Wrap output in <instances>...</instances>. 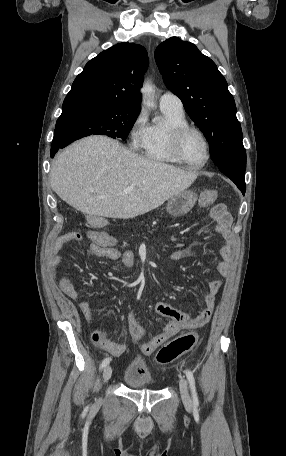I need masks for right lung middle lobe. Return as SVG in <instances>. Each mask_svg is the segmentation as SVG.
<instances>
[{
	"instance_id": "right-lung-middle-lobe-1",
	"label": "right lung middle lobe",
	"mask_w": 286,
	"mask_h": 456,
	"mask_svg": "<svg viewBox=\"0 0 286 456\" xmlns=\"http://www.w3.org/2000/svg\"><path fill=\"white\" fill-rule=\"evenodd\" d=\"M139 113L140 108L93 99L64 100L52 143L63 148L74 140L91 134L125 140Z\"/></svg>"
}]
</instances>
